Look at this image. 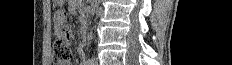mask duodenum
<instances>
[{
  "mask_svg": "<svg viewBox=\"0 0 232 65\" xmlns=\"http://www.w3.org/2000/svg\"><path fill=\"white\" fill-rule=\"evenodd\" d=\"M81 40H82L83 43H85L86 40H87V29H86V27H82Z\"/></svg>",
  "mask_w": 232,
  "mask_h": 65,
  "instance_id": "obj_1",
  "label": "duodenum"
}]
</instances>
